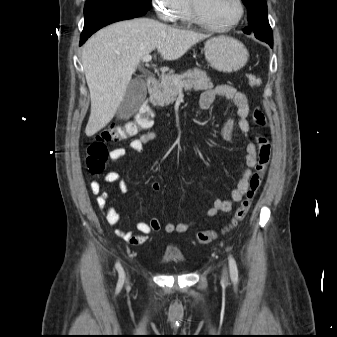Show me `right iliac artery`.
Segmentation results:
<instances>
[{"instance_id":"82829eb1","label":"right iliac artery","mask_w":337,"mask_h":337,"mask_svg":"<svg viewBox=\"0 0 337 337\" xmlns=\"http://www.w3.org/2000/svg\"><path fill=\"white\" fill-rule=\"evenodd\" d=\"M116 269H117L118 272H119V282H120L121 284H123V282H124V273H123V269H122V267H121V265H120L119 262L116 263Z\"/></svg>"}]
</instances>
